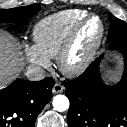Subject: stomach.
Instances as JSON below:
<instances>
[{"label": "stomach", "mask_w": 127, "mask_h": 127, "mask_svg": "<svg viewBox=\"0 0 127 127\" xmlns=\"http://www.w3.org/2000/svg\"><path fill=\"white\" fill-rule=\"evenodd\" d=\"M104 75L106 78L111 80L114 78L115 70L113 68L106 67V69L104 70Z\"/></svg>", "instance_id": "stomach-1"}]
</instances>
